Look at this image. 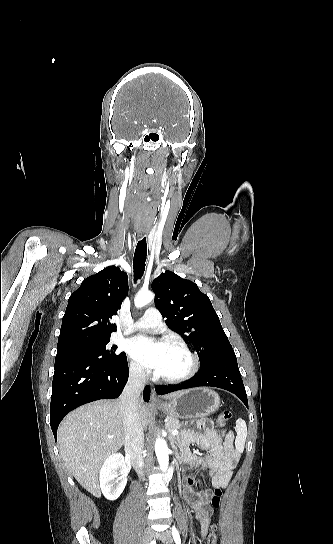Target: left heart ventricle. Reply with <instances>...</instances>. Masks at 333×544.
<instances>
[{
	"instance_id": "1",
	"label": "left heart ventricle",
	"mask_w": 333,
	"mask_h": 544,
	"mask_svg": "<svg viewBox=\"0 0 333 544\" xmlns=\"http://www.w3.org/2000/svg\"><path fill=\"white\" fill-rule=\"evenodd\" d=\"M190 366L189 357L180 349L169 345L163 364L157 371L161 376H179Z\"/></svg>"
}]
</instances>
